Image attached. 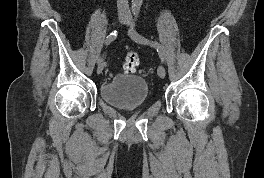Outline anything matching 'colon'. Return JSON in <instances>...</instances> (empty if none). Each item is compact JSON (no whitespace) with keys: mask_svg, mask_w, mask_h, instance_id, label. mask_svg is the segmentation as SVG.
<instances>
[{"mask_svg":"<svg viewBox=\"0 0 264 178\" xmlns=\"http://www.w3.org/2000/svg\"><path fill=\"white\" fill-rule=\"evenodd\" d=\"M139 65V56L135 52H128L125 55L123 62V70L126 73H134L136 71L137 66Z\"/></svg>","mask_w":264,"mask_h":178,"instance_id":"obj_1","label":"colon"}]
</instances>
